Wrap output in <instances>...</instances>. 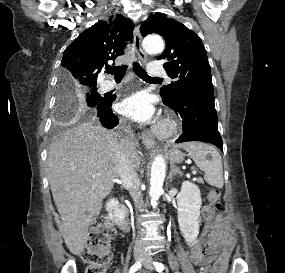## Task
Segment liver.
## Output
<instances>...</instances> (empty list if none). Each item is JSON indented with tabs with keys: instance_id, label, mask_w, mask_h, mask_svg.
<instances>
[{
	"instance_id": "1",
	"label": "liver",
	"mask_w": 285,
	"mask_h": 273,
	"mask_svg": "<svg viewBox=\"0 0 285 273\" xmlns=\"http://www.w3.org/2000/svg\"><path fill=\"white\" fill-rule=\"evenodd\" d=\"M135 168L141 160L135 144L121 140ZM118 136L93 122L65 130L50 145L48 180L62 219L60 231L74 255H80L88 239L91 218L101 211L103 199L118 177L114 149Z\"/></svg>"
}]
</instances>
